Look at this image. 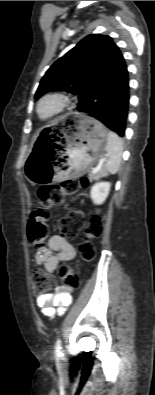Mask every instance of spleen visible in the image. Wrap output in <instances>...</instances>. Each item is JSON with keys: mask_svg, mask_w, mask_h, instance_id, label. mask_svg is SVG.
<instances>
[{"mask_svg": "<svg viewBox=\"0 0 155 395\" xmlns=\"http://www.w3.org/2000/svg\"><path fill=\"white\" fill-rule=\"evenodd\" d=\"M105 150L108 155V159L105 164V171L111 174H116L121 164L123 143L119 136L112 131L107 132Z\"/></svg>", "mask_w": 155, "mask_h": 395, "instance_id": "1", "label": "spleen"}]
</instances>
